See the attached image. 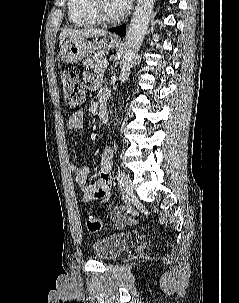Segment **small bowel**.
I'll return each instance as SVG.
<instances>
[{
  "label": "small bowel",
  "instance_id": "small-bowel-1",
  "mask_svg": "<svg viewBox=\"0 0 239 303\" xmlns=\"http://www.w3.org/2000/svg\"><path fill=\"white\" fill-rule=\"evenodd\" d=\"M85 86L92 91H104L103 82L99 77L91 73L84 74ZM84 118L82 112H76L66 119L67 128L70 131L81 129L83 126ZM113 160V150L111 147L106 146L102 153L100 163V179L91 185H87L89 176V169L86 166L72 165L71 170L74 173L76 184L82 190V200L84 202L91 201H106L112 192V179H111V166ZM116 222L123 217L121 211L114 214Z\"/></svg>",
  "mask_w": 239,
  "mask_h": 303
}]
</instances>
